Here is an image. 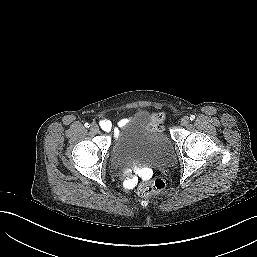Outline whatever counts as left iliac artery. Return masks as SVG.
Returning <instances> with one entry per match:
<instances>
[{"label": "left iliac artery", "instance_id": "44dca946", "mask_svg": "<svg viewBox=\"0 0 257 257\" xmlns=\"http://www.w3.org/2000/svg\"><path fill=\"white\" fill-rule=\"evenodd\" d=\"M194 119H195V115H191L190 120H194Z\"/></svg>", "mask_w": 257, "mask_h": 257}]
</instances>
